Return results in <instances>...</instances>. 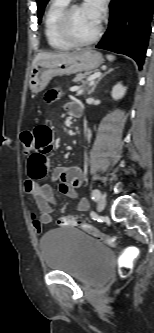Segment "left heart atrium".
I'll return each mask as SVG.
<instances>
[{
    "label": "left heart atrium",
    "mask_w": 154,
    "mask_h": 333,
    "mask_svg": "<svg viewBox=\"0 0 154 333\" xmlns=\"http://www.w3.org/2000/svg\"><path fill=\"white\" fill-rule=\"evenodd\" d=\"M83 7L100 22L104 11V0H85Z\"/></svg>",
    "instance_id": "obj_1"
}]
</instances>
